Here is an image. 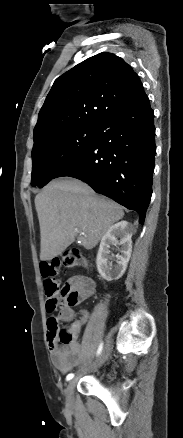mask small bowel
I'll return each instance as SVG.
<instances>
[{
    "label": "small bowel",
    "mask_w": 183,
    "mask_h": 438,
    "mask_svg": "<svg viewBox=\"0 0 183 438\" xmlns=\"http://www.w3.org/2000/svg\"><path fill=\"white\" fill-rule=\"evenodd\" d=\"M66 285L78 294V303L88 299L95 293V282L87 276H74L67 281ZM72 306L73 305L68 302H64L60 308L57 320L63 322L72 321L75 315ZM79 315V318L74 320L71 325L76 331V334L81 330L89 318V313L86 310H81ZM47 339L52 363L60 372L66 373L80 363L83 356V349L81 344L75 338L69 343H64L59 340L56 334L49 331Z\"/></svg>",
    "instance_id": "1"
}]
</instances>
